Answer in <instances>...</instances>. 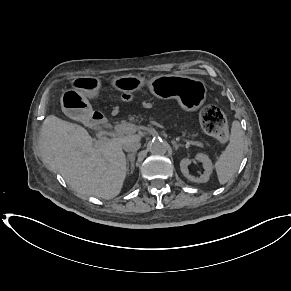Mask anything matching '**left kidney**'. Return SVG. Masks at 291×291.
Here are the masks:
<instances>
[{
    "instance_id": "left-kidney-1",
    "label": "left kidney",
    "mask_w": 291,
    "mask_h": 291,
    "mask_svg": "<svg viewBox=\"0 0 291 291\" xmlns=\"http://www.w3.org/2000/svg\"><path fill=\"white\" fill-rule=\"evenodd\" d=\"M195 159L202 163L204 168V173L200 177H195L189 173L188 166L191 164V160L184 158L180 162V169L182 174L190 181L197 183H206L213 170V164L209 157L205 154L199 153L196 155Z\"/></svg>"
}]
</instances>
